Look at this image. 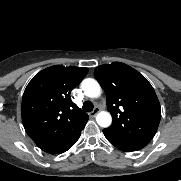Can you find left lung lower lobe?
I'll use <instances>...</instances> for the list:
<instances>
[{
	"mask_svg": "<svg viewBox=\"0 0 181 181\" xmlns=\"http://www.w3.org/2000/svg\"><path fill=\"white\" fill-rule=\"evenodd\" d=\"M107 140L113 144L115 147L119 148L120 150H123L125 152H133L138 151L142 148H144L148 143L141 142V141H132V140H122L115 138L110 135L104 134Z\"/></svg>",
	"mask_w": 181,
	"mask_h": 181,
	"instance_id": "1",
	"label": "left lung lower lobe"
}]
</instances>
